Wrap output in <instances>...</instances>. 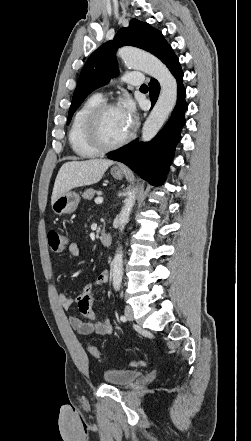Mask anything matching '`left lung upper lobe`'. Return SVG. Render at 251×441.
Instances as JSON below:
<instances>
[{
  "label": "left lung upper lobe",
  "mask_w": 251,
  "mask_h": 441,
  "mask_svg": "<svg viewBox=\"0 0 251 441\" xmlns=\"http://www.w3.org/2000/svg\"><path fill=\"white\" fill-rule=\"evenodd\" d=\"M130 45L146 50L161 61L171 46L162 33L149 24L132 19L127 28H121L113 41H108L95 50L81 70L68 113L67 124L84 99L95 89L106 85L118 73L115 52L118 47Z\"/></svg>",
  "instance_id": "obj_1"
}]
</instances>
